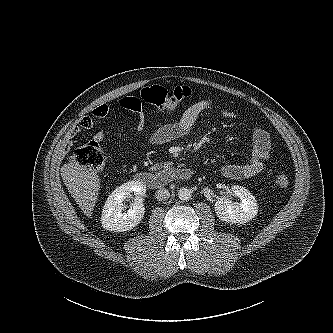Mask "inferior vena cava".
I'll return each mask as SVG.
<instances>
[{"instance_id": "obj_1", "label": "inferior vena cava", "mask_w": 333, "mask_h": 333, "mask_svg": "<svg viewBox=\"0 0 333 333\" xmlns=\"http://www.w3.org/2000/svg\"><path fill=\"white\" fill-rule=\"evenodd\" d=\"M170 197V193L167 189L165 188H160L159 190H157L156 192V198L159 200V201H163V200H166Z\"/></svg>"}]
</instances>
